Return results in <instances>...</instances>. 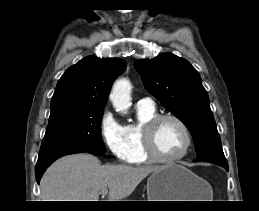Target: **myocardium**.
<instances>
[{"label":"myocardium","mask_w":259,"mask_h":211,"mask_svg":"<svg viewBox=\"0 0 259 211\" xmlns=\"http://www.w3.org/2000/svg\"><path fill=\"white\" fill-rule=\"evenodd\" d=\"M165 120H172L176 122L182 129L186 138V144L183 150L178 155L174 157H169V158L163 157L157 152L155 147V141H154L156 128ZM141 135H142L143 149L147 157L150 159V161L161 162V163H174L181 160L188 154L189 150L192 147V142H193L191 132L188 126L186 125V123L180 117L169 113L157 114L153 118L149 119L142 126Z\"/></svg>","instance_id":"f54148a6"}]
</instances>
